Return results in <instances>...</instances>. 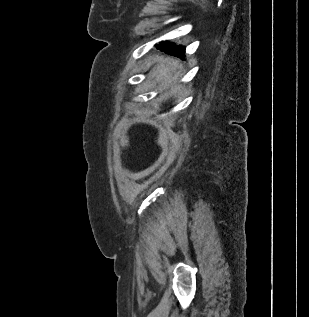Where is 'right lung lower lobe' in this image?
Listing matches in <instances>:
<instances>
[{
  "label": "right lung lower lobe",
  "mask_w": 309,
  "mask_h": 317,
  "mask_svg": "<svg viewBox=\"0 0 309 317\" xmlns=\"http://www.w3.org/2000/svg\"><path fill=\"white\" fill-rule=\"evenodd\" d=\"M157 48L171 55H176L180 58L184 57L185 48L176 46L173 43H168L165 41L164 43H160Z\"/></svg>",
  "instance_id": "right-lung-lower-lobe-1"
}]
</instances>
